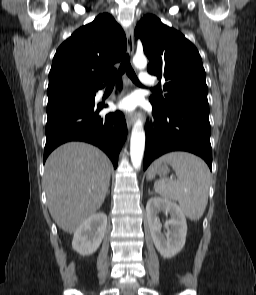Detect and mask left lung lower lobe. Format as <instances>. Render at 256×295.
Returning <instances> with one entry per match:
<instances>
[{
  "label": "left lung lower lobe",
  "instance_id": "left-lung-lower-lobe-1",
  "mask_svg": "<svg viewBox=\"0 0 256 295\" xmlns=\"http://www.w3.org/2000/svg\"><path fill=\"white\" fill-rule=\"evenodd\" d=\"M153 106L154 124H147L144 170L159 156L188 151L203 158L212 170L209 112L176 107L160 110Z\"/></svg>",
  "mask_w": 256,
  "mask_h": 295
}]
</instances>
